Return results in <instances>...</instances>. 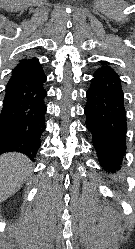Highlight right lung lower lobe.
<instances>
[{
    "label": "right lung lower lobe",
    "instance_id": "right-lung-lower-lobe-1",
    "mask_svg": "<svg viewBox=\"0 0 135 249\" xmlns=\"http://www.w3.org/2000/svg\"><path fill=\"white\" fill-rule=\"evenodd\" d=\"M46 75L9 81L0 113V153L20 152L35 161L45 131Z\"/></svg>",
    "mask_w": 135,
    "mask_h": 249
}]
</instances>
